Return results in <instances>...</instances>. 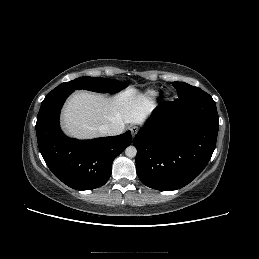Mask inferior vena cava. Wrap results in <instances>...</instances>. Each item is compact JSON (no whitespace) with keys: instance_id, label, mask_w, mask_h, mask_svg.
Listing matches in <instances>:
<instances>
[{"instance_id":"602c4592","label":"inferior vena cava","mask_w":259,"mask_h":259,"mask_svg":"<svg viewBox=\"0 0 259 259\" xmlns=\"http://www.w3.org/2000/svg\"><path fill=\"white\" fill-rule=\"evenodd\" d=\"M124 129H125V124L121 120L114 121L107 125H102L99 127L100 133L109 135V136L119 135L123 133Z\"/></svg>"}]
</instances>
